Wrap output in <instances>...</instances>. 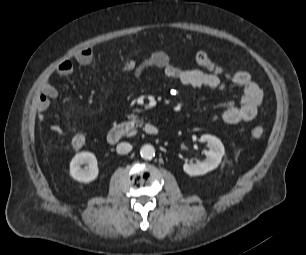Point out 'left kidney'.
<instances>
[{
  "label": "left kidney",
  "instance_id": "1",
  "mask_svg": "<svg viewBox=\"0 0 306 255\" xmlns=\"http://www.w3.org/2000/svg\"><path fill=\"white\" fill-rule=\"evenodd\" d=\"M201 141L206 142L209 148L205 151L206 158L204 161L195 164L185 163L183 170L190 176L204 175L218 167L223 155L225 154L224 146L221 140L215 136L205 134L201 136Z\"/></svg>",
  "mask_w": 306,
  "mask_h": 255
}]
</instances>
